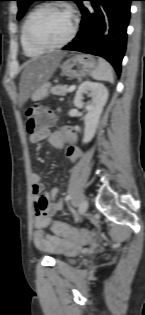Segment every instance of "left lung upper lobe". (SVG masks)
Masks as SVG:
<instances>
[{
    "label": "left lung upper lobe",
    "mask_w": 145,
    "mask_h": 315,
    "mask_svg": "<svg viewBox=\"0 0 145 315\" xmlns=\"http://www.w3.org/2000/svg\"><path fill=\"white\" fill-rule=\"evenodd\" d=\"M16 1H18V8H19L17 19H21L24 13L26 12L28 6L32 2L37 1V0H16ZM72 1H75L76 3H78L79 0H72Z\"/></svg>",
    "instance_id": "1"
}]
</instances>
